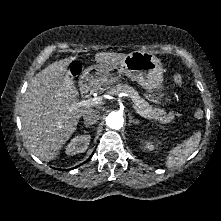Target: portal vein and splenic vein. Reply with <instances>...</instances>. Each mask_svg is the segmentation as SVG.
Returning <instances> with one entry per match:
<instances>
[{
	"label": "portal vein and splenic vein",
	"instance_id": "portal-vein-and-splenic-vein-1",
	"mask_svg": "<svg viewBox=\"0 0 221 221\" xmlns=\"http://www.w3.org/2000/svg\"><path fill=\"white\" fill-rule=\"evenodd\" d=\"M101 103H102V98L101 97L85 99V100H82V101H79V102H73L70 105L69 110L72 111V110H75V109L80 108V107H89V106L98 105V104H101ZM132 107L136 111L137 114H139L140 116H142L145 119L151 120L142 111H140L136 106L133 105Z\"/></svg>",
	"mask_w": 221,
	"mask_h": 221
}]
</instances>
